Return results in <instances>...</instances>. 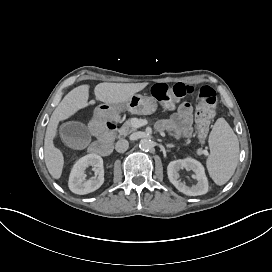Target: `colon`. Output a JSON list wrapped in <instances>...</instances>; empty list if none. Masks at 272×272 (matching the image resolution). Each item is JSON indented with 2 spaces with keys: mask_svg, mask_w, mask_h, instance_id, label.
<instances>
[{
  "mask_svg": "<svg viewBox=\"0 0 272 272\" xmlns=\"http://www.w3.org/2000/svg\"><path fill=\"white\" fill-rule=\"evenodd\" d=\"M151 91L154 98L159 102H171L185 96H193L198 105L196 114L197 130L201 138H206L210 123L215 117L214 107L217 102V95L212 87L184 83H176L171 87L167 84H157Z\"/></svg>",
  "mask_w": 272,
  "mask_h": 272,
  "instance_id": "obj_1",
  "label": "colon"
}]
</instances>
